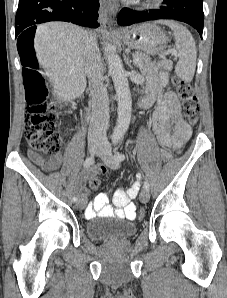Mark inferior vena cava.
Returning <instances> with one entry per match:
<instances>
[{"label": "inferior vena cava", "instance_id": "1", "mask_svg": "<svg viewBox=\"0 0 227 298\" xmlns=\"http://www.w3.org/2000/svg\"><path fill=\"white\" fill-rule=\"evenodd\" d=\"M84 70L89 79L92 114L88 131L89 140L106 141L109 122V99L103 82L104 67L96 38L89 36L84 50Z\"/></svg>", "mask_w": 227, "mask_h": 298}]
</instances>
